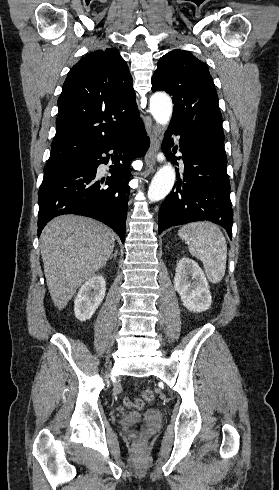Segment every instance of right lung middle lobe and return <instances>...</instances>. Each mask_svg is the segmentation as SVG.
<instances>
[{
	"instance_id": "dd1d6c3e",
	"label": "right lung middle lobe",
	"mask_w": 279,
	"mask_h": 490,
	"mask_svg": "<svg viewBox=\"0 0 279 490\" xmlns=\"http://www.w3.org/2000/svg\"><path fill=\"white\" fill-rule=\"evenodd\" d=\"M73 164H74V162L47 164L44 167V178H43V180L61 172L62 170H64L65 168H67Z\"/></svg>"
}]
</instances>
